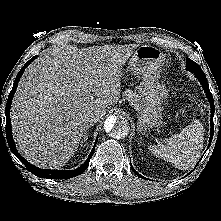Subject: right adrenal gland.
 Here are the masks:
<instances>
[{"label": "right adrenal gland", "mask_w": 221, "mask_h": 221, "mask_svg": "<svg viewBox=\"0 0 221 221\" xmlns=\"http://www.w3.org/2000/svg\"><path fill=\"white\" fill-rule=\"evenodd\" d=\"M92 126H93V124H89L87 126L81 143H84L88 139V131H89V128H91ZM81 146H82V144H81Z\"/></svg>", "instance_id": "1"}]
</instances>
